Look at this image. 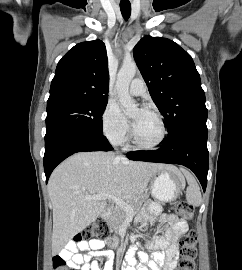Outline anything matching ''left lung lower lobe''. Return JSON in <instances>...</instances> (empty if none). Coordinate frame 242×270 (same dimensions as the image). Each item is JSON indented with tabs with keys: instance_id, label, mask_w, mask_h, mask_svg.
<instances>
[{
	"instance_id": "obj_1",
	"label": "left lung lower lobe",
	"mask_w": 242,
	"mask_h": 270,
	"mask_svg": "<svg viewBox=\"0 0 242 270\" xmlns=\"http://www.w3.org/2000/svg\"><path fill=\"white\" fill-rule=\"evenodd\" d=\"M206 123H192L165 138L154 151H132L131 160L180 164L191 169L198 177L203 191L207 186L209 154Z\"/></svg>"
}]
</instances>
